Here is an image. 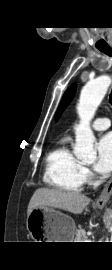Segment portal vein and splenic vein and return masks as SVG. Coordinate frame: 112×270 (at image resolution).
I'll return each mask as SVG.
<instances>
[{
  "mask_svg": "<svg viewBox=\"0 0 112 270\" xmlns=\"http://www.w3.org/2000/svg\"><path fill=\"white\" fill-rule=\"evenodd\" d=\"M85 242H91V240H86Z\"/></svg>",
  "mask_w": 112,
  "mask_h": 270,
  "instance_id": "1",
  "label": "portal vein and splenic vein"
}]
</instances>
